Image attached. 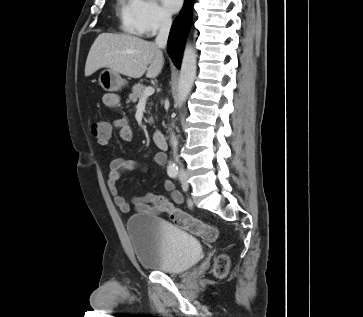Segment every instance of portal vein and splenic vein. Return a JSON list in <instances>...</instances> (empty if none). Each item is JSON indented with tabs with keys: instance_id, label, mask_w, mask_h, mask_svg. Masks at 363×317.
I'll use <instances>...</instances> for the list:
<instances>
[{
	"instance_id": "portal-vein-and-splenic-vein-1",
	"label": "portal vein and splenic vein",
	"mask_w": 363,
	"mask_h": 317,
	"mask_svg": "<svg viewBox=\"0 0 363 317\" xmlns=\"http://www.w3.org/2000/svg\"><path fill=\"white\" fill-rule=\"evenodd\" d=\"M154 88L152 86H148L145 88L143 96L141 97V99H146L147 97H149L150 95H152L154 93Z\"/></svg>"
}]
</instances>
